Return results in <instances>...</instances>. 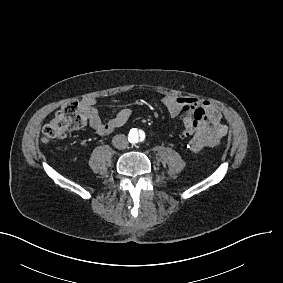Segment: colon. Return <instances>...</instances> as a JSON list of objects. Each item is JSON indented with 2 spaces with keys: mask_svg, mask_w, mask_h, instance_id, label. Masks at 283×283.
<instances>
[{
  "mask_svg": "<svg viewBox=\"0 0 283 283\" xmlns=\"http://www.w3.org/2000/svg\"><path fill=\"white\" fill-rule=\"evenodd\" d=\"M190 107L184 105L183 110L187 113ZM83 113V108L76 104L75 100H70L68 105L55 112L49 123L44 127L41 135L42 141L50 142L56 139H64L70 134L84 129L87 125V117ZM183 121L186 125L184 128L185 133L190 134L196 130V118L192 120L191 116L186 115Z\"/></svg>",
  "mask_w": 283,
  "mask_h": 283,
  "instance_id": "obj_1",
  "label": "colon"
}]
</instances>
